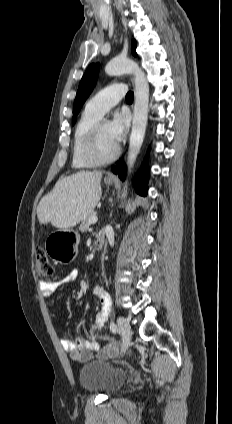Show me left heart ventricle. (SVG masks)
Here are the masks:
<instances>
[{
  "label": "left heart ventricle",
  "mask_w": 232,
  "mask_h": 424,
  "mask_svg": "<svg viewBox=\"0 0 232 424\" xmlns=\"http://www.w3.org/2000/svg\"><path fill=\"white\" fill-rule=\"evenodd\" d=\"M116 146L117 145L112 140L110 132H109V123L105 121L102 124L100 133H99V139H98L99 154L102 157L110 156L114 152Z\"/></svg>",
  "instance_id": "1"
}]
</instances>
